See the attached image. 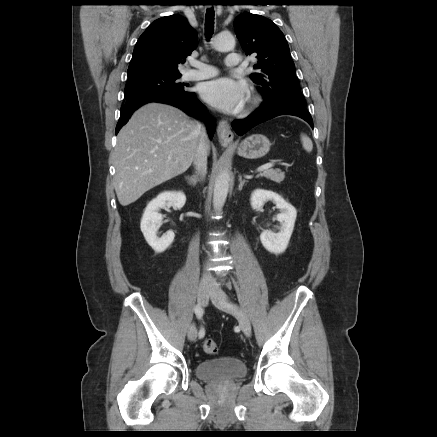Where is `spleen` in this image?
Returning <instances> with one entry per match:
<instances>
[{"label": "spleen", "instance_id": "1", "mask_svg": "<svg viewBox=\"0 0 437 437\" xmlns=\"http://www.w3.org/2000/svg\"><path fill=\"white\" fill-rule=\"evenodd\" d=\"M301 142H302V146L303 148L307 151V152H311L313 149V143L311 141V139L305 135V134H301Z\"/></svg>", "mask_w": 437, "mask_h": 437}]
</instances>
